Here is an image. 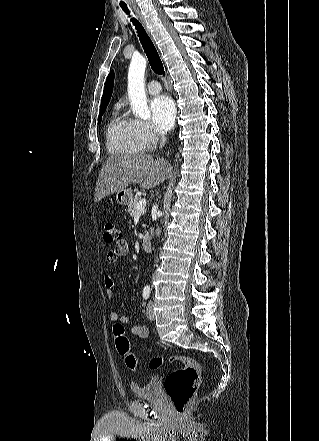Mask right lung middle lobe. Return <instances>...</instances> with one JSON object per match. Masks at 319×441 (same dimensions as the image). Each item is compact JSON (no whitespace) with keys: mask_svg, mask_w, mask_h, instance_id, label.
<instances>
[{"mask_svg":"<svg viewBox=\"0 0 319 441\" xmlns=\"http://www.w3.org/2000/svg\"><path fill=\"white\" fill-rule=\"evenodd\" d=\"M105 110H106V106L100 109L99 120H98L99 123L101 122L102 115L104 114Z\"/></svg>","mask_w":319,"mask_h":441,"instance_id":"dd1d6c3e","label":"right lung middle lobe"}]
</instances>
